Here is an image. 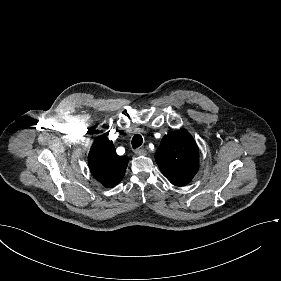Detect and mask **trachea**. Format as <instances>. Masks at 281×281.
I'll return each instance as SVG.
<instances>
[{"label": "trachea", "instance_id": "trachea-1", "mask_svg": "<svg viewBox=\"0 0 281 281\" xmlns=\"http://www.w3.org/2000/svg\"><path fill=\"white\" fill-rule=\"evenodd\" d=\"M142 143H143V138L141 135L137 134L132 138L131 144H132L133 149L140 147L142 145Z\"/></svg>", "mask_w": 281, "mask_h": 281}]
</instances>
